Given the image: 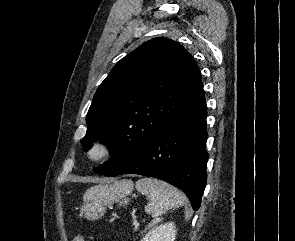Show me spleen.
<instances>
[{
	"label": "spleen",
	"instance_id": "obj_1",
	"mask_svg": "<svg viewBox=\"0 0 295 241\" xmlns=\"http://www.w3.org/2000/svg\"><path fill=\"white\" fill-rule=\"evenodd\" d=\"M136 189L147 196L148 203L145 206V212L152 214L154 220L145 229L155 227L162 221L159 217L167 211L183 206L186 197L170 184L157 180L155 178H142L136 182Z\"/></svg>",
	"mask_w": 295,
	"mask_h": 241
}]
</instances>
